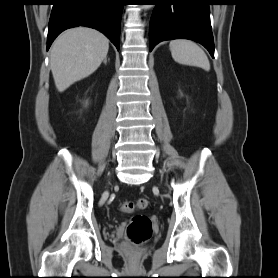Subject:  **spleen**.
Instances as JSON below:
<instances>
[{
  "mask_svg": "<svg viewBox=\"0 0 278 278\" xmlns=\"http://www.w3.org/2000/svg\"><path fill=\"white\" fill-rule=\"evenodd\" d=\"M169 47L176 62L201 67L206 71L210 70L207 55L195 42L187 39H175L170 42Z\"/></svg>",
  "mask_w": 278,
  "mask_h": 278,
  "instance_id": "1",
  "label": "spleen"
}]
</instances>
